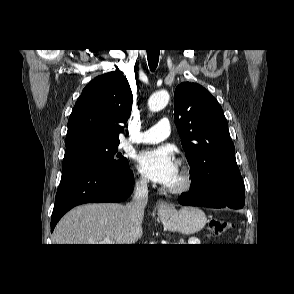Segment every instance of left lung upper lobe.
<instances>
[{
  "label": "left lung upper lobe",
  "mask_w": 294,
  "mask_h": 294,
  "mask_svg": "<svg viewBox=\"0 0 294 294\" xmlns=\"http://www.w3.org/2000/svg\"><path fill=\"white\" fill-rule=\"evenodd\" d=\"M174 118L190 165L192 188L203 192L221 176H240L222 107L201 85L183 82L174 93Z\"/></svg>",
  "instance_id": "obj_1"
}]
</instances>
